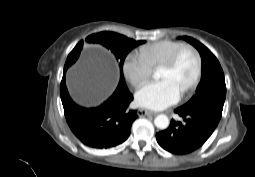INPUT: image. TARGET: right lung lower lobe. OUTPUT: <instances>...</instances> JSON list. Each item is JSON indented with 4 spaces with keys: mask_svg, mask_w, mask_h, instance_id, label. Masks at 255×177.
Listing matches in <instances>:
<instances>
[{
    "mask_svg": "<svg viewBox=\"0 0 255 177\" xmlns=\"http://www.w3.org/2000/svg\"><path fill=\"white\" fill-rule=\"evenodd\" d=\"M64 69L60 95L67 123L76 137L85 145L107 149L123 143L130 135L131 125L137 118L128 110L133 95L126 85L119 83L115 92L100 106L86 108L72 100L65 85Z\"/></svg>",
    "mask_w": 255,
    "mask_h": 177,
    "instance_id": "right-lung-lower-lobe-1",
    "label": "right lung lower lobe"
}]
</instances>
